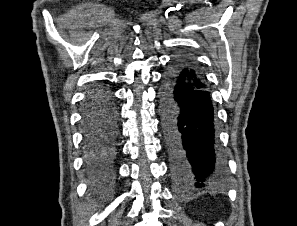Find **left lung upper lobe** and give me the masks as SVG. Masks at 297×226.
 Masks as SVG:
<instances>
[{"label": "left lung upper lobe", "mask_w": 297, "mask_h": 226, "mask_svg": "<svg viewBox=\"0 0 297 226\" xmlns=\"http://www.w3.org/2000/svg\"><path fill=\"white\" fill-rule=\"evenodd\" d=\"M180 61L181 64L179 65V74L182 77H184L193 86H206L197 71H195L185 60Z\"/></svg>", "instance_id": "5c2ea615"}]
</instances>
